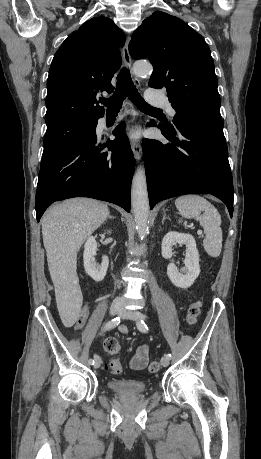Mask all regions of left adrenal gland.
Masks as SVG:
<instances>
[{
	"mask_svg": "<svg viewBox=\"0 0 261 459\" xmlns=\"http://www.w3.org/2000/svg\"><path fill=\"white\" fill-rule=\"evenodd\" d=\"M166 219L170 220V218L167 217V216H166V213L164 212L163 218H162V224H164V221H165Z\"/></svg>",
	"mask_w": 261,
	"mask_h": 459,
	"instance_id": "1",
	"label": "left adrenal gland"
}]
</instances>
